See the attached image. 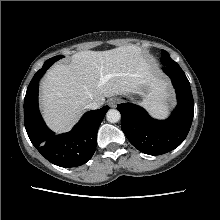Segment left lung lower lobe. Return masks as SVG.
Instances as JSON below:
<instances>
[{
  "label": "left lung lower lobe",
  "instance_id": "obj_1",
  "mask_svg": "<svg viewBox=\"0 0 220 220\" xmlns=\"http://www.w3.org/2000/svg\"><path fill=\"white\" fill-rule=\"evenodd\" d=\"M162 69L171 78L178 100L170 118L155 120L131 103L117 106L122 131L138 150L149 155H161L177 148L186 138L194 115L191 87L183 70L179 65H164Z\"/></svg>",
  "mask_w": 220,
  "mask_h": 220
}]
</instances>
